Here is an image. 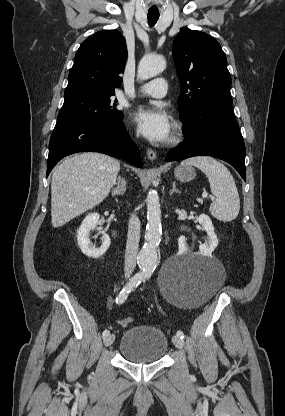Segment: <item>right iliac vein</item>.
Segmentation results:
<instances>
[{
	"label": "right iliac vein",
	"instance_id": "obj_1",
	"mask_svg": "<svg viewBox=\"0 0 285 416\" xmlns=\"http://www.w3.org/2000/svg\"><path fill=\"white\" fill-rule=\"evenodd\" d=\"M114 340H115V335L114 334H110V335L106 336L104 338V346L105 347L110 346L114 342Z\"/></svg>",
	"mask_w": 285,
	"mask_h": 416
}]
</instances>
